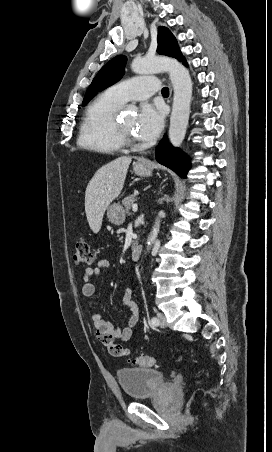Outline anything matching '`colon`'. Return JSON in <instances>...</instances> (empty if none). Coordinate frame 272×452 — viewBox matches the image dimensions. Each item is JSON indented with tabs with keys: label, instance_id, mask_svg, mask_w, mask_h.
<instances>
[{
	"label": "colon",
	"instance_id": "1",
	"mask_svg": "<svg viewBox=\"0 0 272 452\" xmlns=\"http://www.w3.org/2000/svg\"><path fill=\"white\" fill-rule=\"evenodd\" d=\"M93 261L94 257L88 240L84 238L79 239L76 244L75 253L73 255L74 264L77 266H89L93 263ZM113 351L120 355H126L130 354L131 350L120 346H115L113 348ZM132 362L142 367H153L156 364L155 358L149 355H139L138 357L134 358Z\"/></svg>",
	"mask_w": 272,
	"mask_h": 452
}]
</instances>
